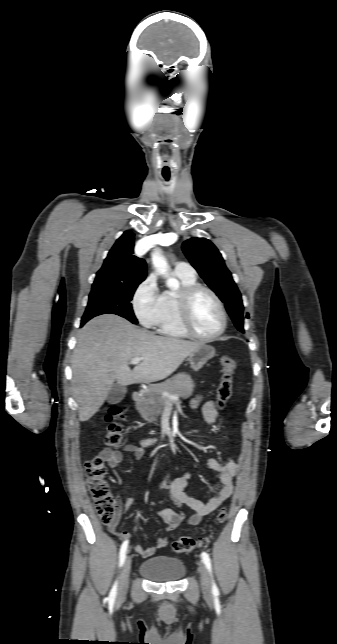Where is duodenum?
<instances>
[{
	"label": "duodenum",
	"mask_w": 337,
	"mask_h": 644,
	"mask_svg": "<svg viewBox=\"0 0 337 644\" xmlns=\"http://www.w3.org/2000/svg\"><path fill=\"white\" fill-rule=\"evenodd\" d=\"M134 402H140L142 399V393L140 391H135L132 396ZM165 441L161 438H147L143 440L142 445L143 446H153V445H161Z\"/></svg>",
	"instance_id": "1"
}]
</instances>
